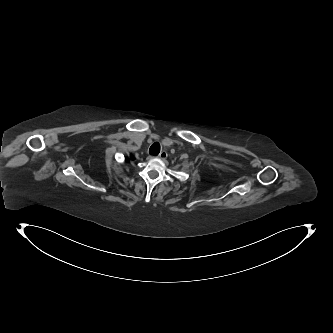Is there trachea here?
I'll return each mask as SVG.
<instances>
[{
	"label": "trachea",
	"instance_id": "1",
	"mask_svg": "<svg viewBox=\"0 0 333 333\" xmlns=\"http://www.w3.org/2000/svg\"><path fill=\"white\" fill-rule=\"evenodd\" d=\"M159 152H160V144L158 142L153 143L149 149V154L157 156Z\"/></svg>",
	"mask_w": 333,
	"mask_h": 333
}]
</instances>
